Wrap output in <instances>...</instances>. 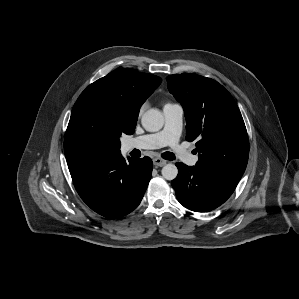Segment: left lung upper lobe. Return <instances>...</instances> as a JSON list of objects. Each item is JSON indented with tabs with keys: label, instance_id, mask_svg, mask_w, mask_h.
<instances>
[{
	"label": "left lung upper lobe",
	"instance_id": "1",
	"mask_svg": "<svg viewBox=\"0 0 299 299\" xmlns=\"http://www.w3.org/2000/svg\"><path fill=\"white\" fill-rule=\"evenodd\" d=\"M170 93L181 103L186 140H196L197 167L239 182L248 162L249 140L240 110L218 82L196 74L167 77Z\"/></svg>",
	"mask_w": 299,
	"mask_h": 299
}]
</instances>
